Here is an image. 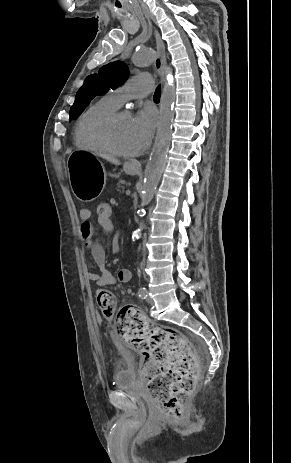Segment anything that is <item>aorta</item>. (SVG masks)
<instances>
[{
    "mask_svg": "<svg viewBox=\"0 0 291 463\" xmlns=\"http://www.w3.org/2000/svg\"><path fill=\"white\" fill-rule=\"evenodd\" d=\"M154 60L155 51L152 48H145L138 51L132 59L134 65L138 67L151 65ZM167 72L171 73V69L167 68ZM174 102L175 85L173 82L168 81L162 94L159 125L157 128L155 142L145 169L141 207L145 206L153 199L158 181L165 166L171 140L172 122L174 119ZM143 213L144 209L140 208V210H138L140 218L143 217ZM143 228L144 222L143 220H140L139 228L133 232L132 238L139 239Z\"/></svg>",
    "mask_w": 291,
    "mask_h": 463,
    "instance_id": "aorta-1",
    "label": "aorta"
}]
</instances>
